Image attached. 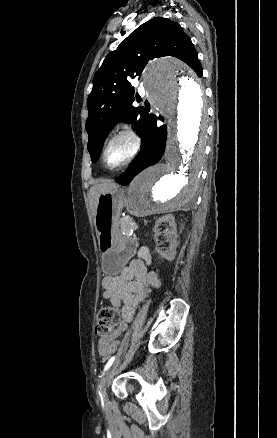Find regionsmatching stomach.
Here are the masks:
<instances>
[{"label":"stomach","mask_w":277,"mask_h":438,"mask_svg":"<svg viewBox=\"0 0 277 438\" xmlns=\"http://www.w3.org/2000/svg\"><path fill=\"white\" fill-rule=\"evenodd\" d=\"M124 204V191L118 186L100 194L97 200L95 228L102 253V269L106 275L120 273L131 256L132 242L118 226Z\"/></svg>","instance_id":"stomach-1"}]
</instances>
